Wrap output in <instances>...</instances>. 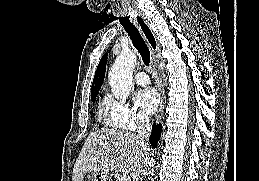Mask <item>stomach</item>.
Instances as JSON below:
<instances>
[{
    "label": "stomach",
    "mask_w": 259,
    "mask_h": 181,
    "mask_svg": "<svg viewBox=\"0 0 259 181\" xmlns=\"http://www.w3.org/2000/svg\"><path fill=\"white\" fill-rule=\"evenodd\" d=\"M87 181H110L109 175L98 172V171H93L87 176Z\"/></svg>",
    "instance_id": "stomach-1"
}]
</instances>
